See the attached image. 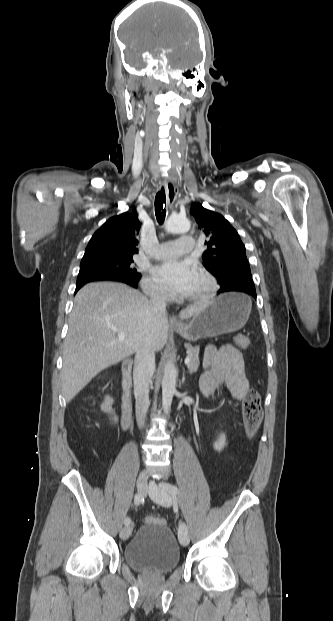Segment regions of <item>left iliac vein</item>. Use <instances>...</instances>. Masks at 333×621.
<instances>
[{
  "instance_id": "obj_1",
  "label": "left iliac vein",
  "mask_w": 333,
  "mask_h": 621,
  "mask_svg": "<svg viewBox=\"0 0 333 621\" xmlns=\"http://www.w3.org/2000/svg\"><path fill=\"white\" fill-rule=\"evenodd\" d=\"M149 496L157 504L168 507L171 505V498L168 492L158 486L154 481L149 483ZM178 539L181 545L187 546L190 541L189 532L186 524L181 522L178 528Z\"/></svg>"
}]
</instances>
